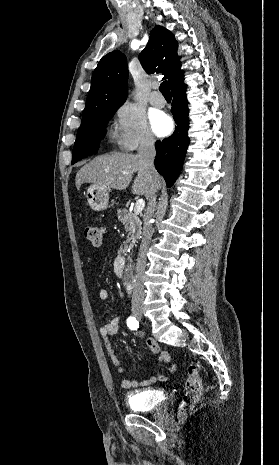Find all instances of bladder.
<instances>
[{
    "label": "bladder",
    "mask_w": 279,
    "mask_h": 465,
    "mask_svg": "<svg viewBox=\"0 0 279 465\" xmlns=\"http://www.w3.org/2000/svg\"><path fill=\"white\" fill-rule=\"evenodd\" d=\"M166 402L167 395L161 390L147 389L127 394L128 407L134 412L161 411Z\"/></svg>",
    "instance_id": "bladder-1"
}]
</instances>
